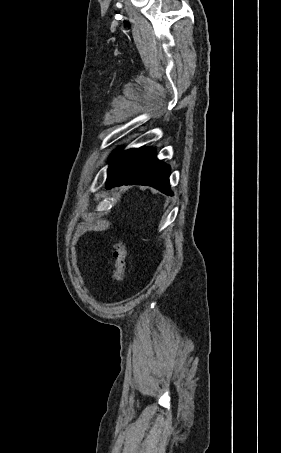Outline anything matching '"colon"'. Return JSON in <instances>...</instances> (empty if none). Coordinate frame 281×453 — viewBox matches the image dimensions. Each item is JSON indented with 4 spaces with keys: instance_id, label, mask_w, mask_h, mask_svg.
I'll return each mask as SVG.
<instances>
[{
    "instance_id": "5ec220e1",
    "label": "colon",
    "mask_w": 281,
    "mask_h": 453,
    "mask_svg": "<svg viewBox=\"0 0 281 453\" xmlns=\"http://www.w3.org/2000/svg\"><path fill=\"white\" fill-rule=\"evenodd\" d=\"M127 269V250L123 241L118 240L113 247L112 284L121 287Z\"/></svg>"
}]
</instances>
